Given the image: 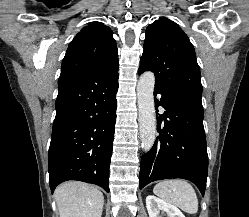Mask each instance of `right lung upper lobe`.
I'll use <instances>...</instances> for the list:
<instances>
[{
	"label": "right lung upper lobe",
	"instance_id": "obj_1",
	"mask_svg": "<svg viewBox=\"0 0 249 217\" xmlns=\"http://www.w3.org/2000/svg\"><path fill=\"white\" fill-rule=\"evenodd\" d=\"M117 63V46L112 31L100 22H91L69 44L60 76L95 74Z\"/></svg>",
	"mask_w": 249,
	"mask_h": 217
}]
</instances>
